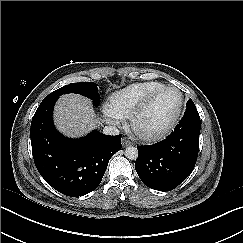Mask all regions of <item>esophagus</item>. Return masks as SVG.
I'll list each match as a JSON object with an SVG mask.
<instances>
[{
    "label": "esophagus",
    "instance_id": "obj_1",
    "mask_svg": "<svg viewBox=\"0 0 243 243\" xmlns=\"http://www.w3.org/2000/svg\"><path fill=\"white\" fill-rule=\"evenodd\" d=\"M121 144H122V147H127V146L131 145V142L129 140H127L126 138H123L121 140Z\"/></svg>",
    "mask_w": 243,
    "mask_h": 243
}]
</instances>
